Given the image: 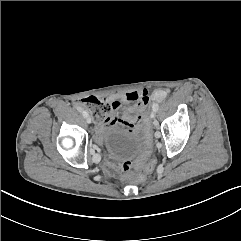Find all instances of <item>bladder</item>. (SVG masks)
<instances>
[{
	"label": "bladder",
	"mask_w": 241,
	"mask_h": 241,
	"mask_svg": "<svg viewBox=\"0 0 241 241\" xmlns=\"http://www.w3.org/2000/svg\"><path fill=\"white\" fill-rule=\"evenodd\" d=\"M143 145V139L137 132H129L122 128H113L108 133V147L117 158L137 155Z\"/></svg>",
	"instance_id": "obj_1"
}]
</instances>
